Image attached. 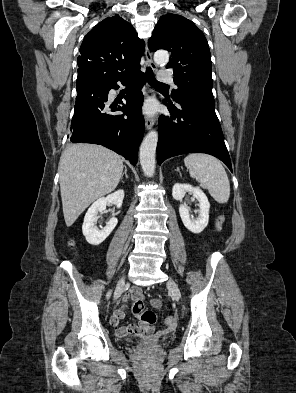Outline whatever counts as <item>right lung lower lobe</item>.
Instances as JSON below:
<instances>
[{"instance_id":"98d812e1","label":"right lung lower lobe","mask_w":296,"mask_h":393,"mask_svg":"<svg viewBox=\"0 0 296 393\" xmlns=\"http://www.w3.org/2000/svg\"><path fill=\"white\" fill-rule=\"evenodd\" d=\"M144 73L140 70L117 79H105L88 69L78 70L76 83L77 97L71 122L70 140L74 143L101 144L124 156L136 165L138 147L144 134V119L141 114L145 84ZM117 81L126 84L134 82L125 96L123 106L107 103L110 89H118ZM122 111L124 114H113Z\"/></svg>"}]
</instances>
